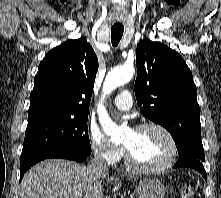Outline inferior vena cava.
<instances>
[{
    "label": "inferior vena cava",
    "mask_w": 221,
    "mask_h": 198,
    "mask_svg": "<svg viewBox=\"0 0 221 198\" xmlns=\"http://www.w3.org/2000/svg\"><path fill=\"white\" fill-rule=\"evenodd\" d=\"M89 167L92 168L94 171H98V172L108 171L106 163L104 162V159L98 153L94 155V158L91 160Z\"/></svg>",
    "instance_id": "inferior-vena-cava-1"
}]
</instances>
